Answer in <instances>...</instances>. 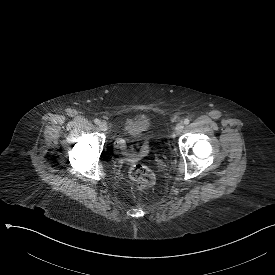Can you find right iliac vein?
<instances>
[{
  "mask_svg": "<svg viewBox=\"0 0 275 275\" xmlns=\"http://www.w3.org/2000/svg\"><path fill=\"white\" fill-rule=\"evenodd\" d=\"M99 127H100L101 130L105 131V130L107 129V124H106V122H101V123L99 124Z\"/></svg>",
  "mask_w": 275,
  "mask_h": 275,
  "instance_id": "right-iliac-vein-1",
  "label": "right iliac vein"
}]
</instances>
